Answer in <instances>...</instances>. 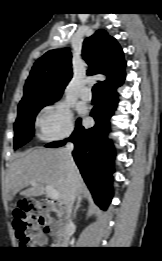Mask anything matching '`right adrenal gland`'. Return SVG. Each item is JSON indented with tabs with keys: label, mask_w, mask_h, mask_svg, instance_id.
Instances as JSON below:
<instances>
[{
	"label": "right adrenal gland",
	"mask_w": 162,
	"mask_h": 261,
	"mask_svg": "<svg viewBox=\"0 0 162 261\" xmlns=\"http://www.w3.org/2000/svg\"><path fill=\"white\" fill-rule=\"evenodd\" d=\"M80 202H81V198H79V200L77 201L76 203V206H75V209H74V213H73V218L75 219L76 218V213L78 211V209L80 208Z\"/></svg>",
	"instance_id": "2a0ac1e0"
}]
</instances>
